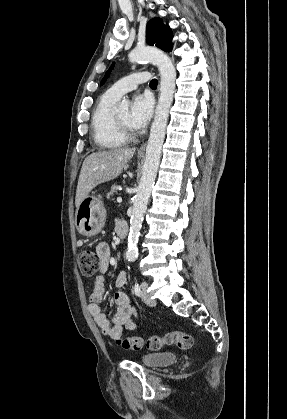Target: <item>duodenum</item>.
Wrapping results in <instances>:
<instances>
[{
  "label": "duodenum",
  "instance_id": "410a0bca",
  "mask_svg": "<svg viewBox=\"0 0 287 419\" xmlns=\"http://www.w3.org/2000/svg\"><path fill=\"white\" fill-rule=\"evenodd\" d=\"M116 234L119 239L125 238L128 234V226L125 223L118 225L116 228Z\"/></svg>",
  "mask_w": 287,
  "mask_h": 419
}]
</instances>
